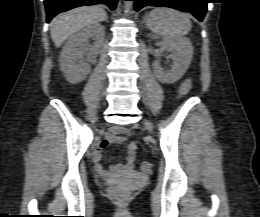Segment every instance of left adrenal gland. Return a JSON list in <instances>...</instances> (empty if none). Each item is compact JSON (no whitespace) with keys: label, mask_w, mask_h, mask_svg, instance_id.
I'll list each match as a JSON object with an SVG mask.
<instances>
[{"label":"left adrenal gland","mask_w":260,"mask_h":217,"mask_svg":"<svg viewBox=\"0 0 260 217\" xmlns=\"http://www.w3.org/2000/svg\"><path fill=\"white\" fill-rule=\"evenodd\" d=\"M145 22H146V17H144V18H143V21H142V23H145Z\"/></svg>","instance_id":"left-adrenal-gland-1"}]
</instances>
